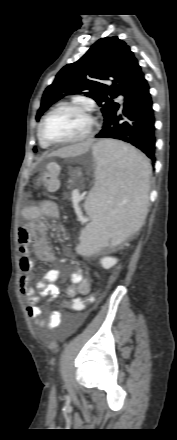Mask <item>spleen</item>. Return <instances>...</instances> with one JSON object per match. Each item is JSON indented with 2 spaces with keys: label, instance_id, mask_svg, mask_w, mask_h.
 Segmentation results:
<instances>
[{
  "label": "spleen",
  "instance_id": "3e777b00",
  "mask_svg": "<svg viewBox=\"0 0 177 440\" xmlns=\"http://www.w3.org/2000/svg\"><path fill=\"white\" fill-rule=\"evenodd\" d=\"M93 155L96 182L85 210L91 222L80 235L77 253L86 256L117 245L142 226L148 202L151 165L147 157L122 142L103 140Z\"/></svg>",
  "mask_w": 177,
  "mask_h": 440
}]
</instances>
